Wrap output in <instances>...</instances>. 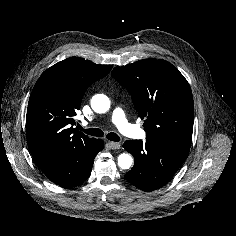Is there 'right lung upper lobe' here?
Masks as SVG:
<instances>
[{"label":"right lung upper lobe","instance_id":"obj_1","mask_svg":"<svg viewBox=\"0 0 236 236\" xmlns=\"http://www.w3.org/2000/svg\"><path fill=\"white\" fill-rule=\"evenodd\" d=\"M112 66L70 57L48 68L30 95L26 134L29 150L37 165L96 141L74 128L76 111L83 95Z\"/></svg>","mask_w":236,"mask_h":236}]
</instances>
